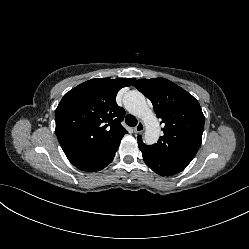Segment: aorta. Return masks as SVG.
Segmentation results:
<instances>
[{
  "label": "aorta",
  "instance_id": "1",
  "mask_svg": "<svg viewBox=\"0 0 249 249\" xmlns=\"http://www.w3.org/2000/svg\"><path fill=\"white\" fill-rule=\"evenodd\" d=\"M124 104L131 114L141 118L145 123L146 144L156 143L160 136V124L154 112L148 107L145 96L139 91H130L124 97Z\"/></svg>",
  "mask_w": 249,
  "mask_h": 249
}]
</instances>
